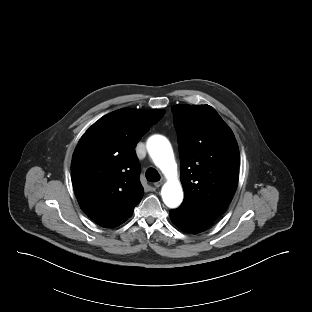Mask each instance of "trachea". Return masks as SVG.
Segmentation results:
<instances>
[{"instance_id":"trachea-1","label":"trachea","mask_w":312,"mask_h":312,"mask_svg":"<svg viewBox=\"0 0 312 312\" xmlns=\"http://www.w3.org/2000/svg\"><path fill=\"white\" fill-rule=\"evenodd\" d=\"M146 178L150 182H157L160 180V175L154 168H149L146 171Z\"/></svg>"}]
</instances>
